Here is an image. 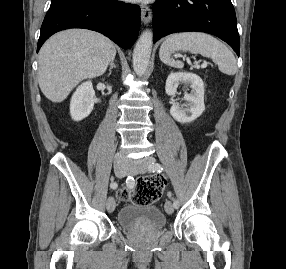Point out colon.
I'll use <instances>...</instances> for the list:
<instances>
[{
  "label": "colon",
  "instance_id": "obj_1",
  "mask_svg": "<svg viewBox=\"0 0 286 269\" xmlns=\"http://www.w3.org/2000/svg\"><path fill=\"white\" fill-rule=\"evenodd\" d=\"M163 186L164 180L160 177H141L135 189H121L118 196L135 204L149 205L158 199Z\"/></svg>",
  "mask_w": 286,
  "mask_h": 269
}]
</instances>
